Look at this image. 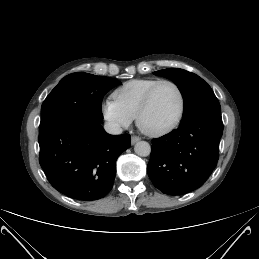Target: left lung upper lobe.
I'll use <instances>...</instances> for the list:
<instances>
[{
  "instance_id": "1",
  "label": "left lung upper lobe",
  "mask_w": 259,
  "mask_h": 259,
  "mask_svg": "<svg viewBox=\"0 0 259 259\" xmlns=\"http://www.w3.org/2000/svg\"><path fill=\"white\" fill-rule=\"evenodd\" d=\"M171 79L184 99L182 124L204 116L221 117V108L214 92L202 78L183 69L169 68L154 72Z\"/></svg>"
}]
</instances>
